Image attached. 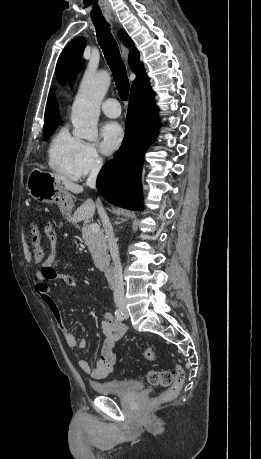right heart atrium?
Instances as JSON below:
<instances>
[{"label": "right heart atrium", "instance_id": "obj_1", "mask_svg": "<svg viewBox=\"0 0 261 459\" xmlns=\"http://www.w3.org/2000/svg\"><path fill=\"white\" fill-rule=\"evenodd\" d=\"M103 164V158L96 144L81 141L76 160L79 176H85L98 171Z\"/></svg>", "mask_w": 261, "mask_h": 459}]
</instances>
